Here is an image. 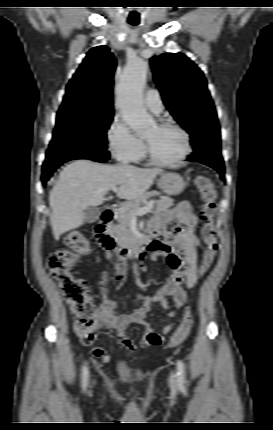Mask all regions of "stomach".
<instances>
[{
    "mask_svg": "<svg viewBox=\"0 0 273 430\" xmlns=\"http://www.w3.org/2000/svg\"><path fill=\"white\" fill-rule=\"evenodd\" d=\"M158 185L169 196L179 195L186 187V182L178 173L165 172L158 179Z\"/></svg>",
    "mask_w": 273,
    "mask_h": 430,
    "instance_id": "obj_1",
    "label": "stomach"
}]
</instances>
